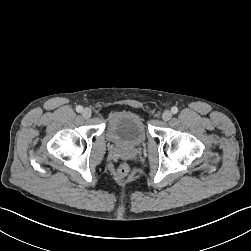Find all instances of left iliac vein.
I'll return each instance as SVG.
<instances>
[{"mask_svg": "<svg viewBox=\"0 0 251 251\" xmlns=\"http://www.w3.org/2000/svg\"><path fill=\"white\" fill-rule=\"evenodd\" d=\"M171 117H172V113L169 110L164 111L162 114V119L164 121H169Z\"/></svg>", "mask_w": 251, "mask_h": 251, "instance_id": "left-iliac-vein-1", "label": "left iliac vein"}]
</instances>
